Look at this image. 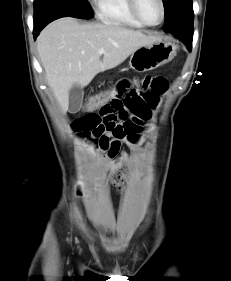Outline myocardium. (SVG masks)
<instances>
[{
  "instance_id": "1",
  "label": "myocardium",
  "mask_w": 231,
  "mask_h": 281,
  "mask_svg": "<svg viewBox=\"0 0 231 281\" xmlns=\"http://www.w3.org/2000/svg\"><path fill=\"white\" fill-rule=\"evenodd\" d=\"M138 2H139L138 0H129L130 9H131L133 15L136 17V19L139 22H141L144 26H148V27H157L163 23V21L165 20V16H166V7H165L164 0H159V3L161 5L162 14H161L160 21L156 24H150L149 22H147L144 19V17L142 16V14L139 10Z\"/></svg>"
}]
</instances>
